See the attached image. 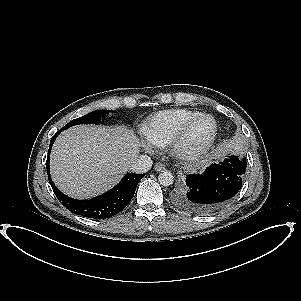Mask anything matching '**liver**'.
<instances>
[{
  "label": "liver",
  "instance_id": "obj_1",
  "mask_svg": "<svg viewBox=\"0 0 301 301\" xmlns=\"http://www.w3.org/2000/svg\"><path fill=\"white\" fill-rule=\"evenodd\" d=\"M139 146L138 138L124 127H71L52 147L51 177L72 198L97 196L120 181L137 158Z\"/></svg>",
  "mask_w": 301,
  "mask_h": 301
}]
</instances>
